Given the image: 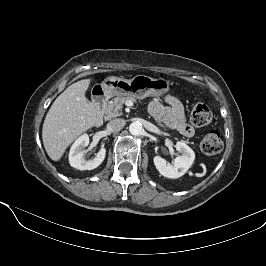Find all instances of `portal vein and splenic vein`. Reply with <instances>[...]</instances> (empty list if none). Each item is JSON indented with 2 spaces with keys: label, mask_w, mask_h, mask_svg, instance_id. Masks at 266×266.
<instances>
[{
  "label": "portal vein and splenic vein",
  "mask_w": 266,
  "mask_h": 266,
  "mask_svg": "<svg viewBox=\"0 0 266 266\" xmlns=\"http://www.w3.org/2000/svg\"><path fill=\"white\" fill-rule=\"evenodd\" d=\"M133 104H132V102H130L129 104H128V106H132Z\"/></svg>",
  "instance_id": "portal-vein-and-splenic-vein-1"
}]
</instances>
